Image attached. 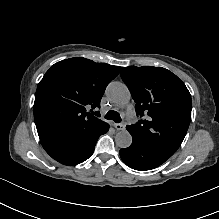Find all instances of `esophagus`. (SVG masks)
<instances>
[{"label":"esophagus","instance_id":"obj_1","mask_svg":"<svg viewBox=\"0 0 219 219\" xmlns=\"http://www.w3.org/2000/svg\"><path fill=\"white\" fill-rule=\"evenodd\" d=\"M114 127H115L117 130H124V129L126 128V123L123 122V123L114 124Z\"/></svg>","mask_w":219,"mask_h":219}]
</instances>
